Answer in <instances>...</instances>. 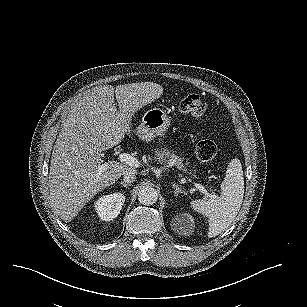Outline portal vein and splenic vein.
I'll return each mask as SVG.
<instances>
[{"label":"portal vein and splenic vein","instance_id":"1","mask_svg":"<svg viewBox=\"0 0 307 307\" xmlns=\"http://www.w3.org/2000/svg\"><path fill=\"white\" fill-rule=\"evenodd\" d=\"M120 159H121V161H122L124 164H126V165H128V166H130V167H132V168H139V167H141L142 164H143L142 161L139 160L138 158H136V157H134V156H132V155L126 154V153L120 155ZM193 185L195 186V188H196L197 190H199L200 192H202L206 198H216V197H217V194L211 195V194L205 189V187H204L202 184L197 183V182H194Z\"/></svg>","mask_w":307,"mask_h":307}]
</instances>
